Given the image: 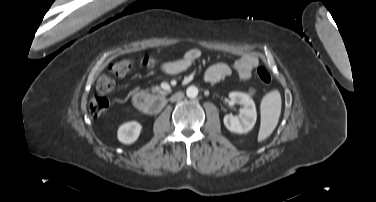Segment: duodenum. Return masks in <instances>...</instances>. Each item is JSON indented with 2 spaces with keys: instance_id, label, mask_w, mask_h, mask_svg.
I'll use <instances>...</instances> for the list:
<instances>
[{
  "instance_id": "1",
  "label": "duodenum",
  "mask_w": 376,
  "mask_h": 202,
  "mask_svg": "<svg viewBox=\"0 0 376 202\" xmlns=\"http://www.w3.org/2000/svg\"><path fill=\"white\" fill-rule=\"evenodd\" d=\"M133 106L140 112L145 114L158 113L165 105L163 95H150L145 92H137L132 96Z\"/></svg>"
}]
</instances>
